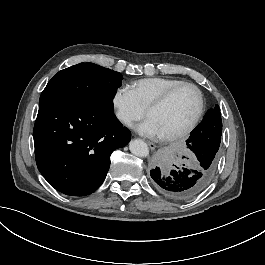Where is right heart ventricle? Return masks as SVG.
I'll return each instance as SVG.
<instances>
[{"label":"right heart ventricle","instance_id":"e07e8e85","mask_svg":"<svg viewBox=\"0 0 265 265\" xmlns=\"http://www.w3.org/2000/svg\"><path fill=\"white\" fill-rule=\"evenodd\" d=\"M183 83L185 81L176 78L150 77L132 82L130 88L135 93L141 106L147 110L169 90Z\"/></svg>","mask_w":265,"mask_h":265}]
</instances>
